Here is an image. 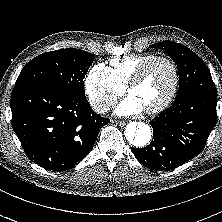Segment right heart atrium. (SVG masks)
Segmentation results:
<instances>
[{
	"label": "right heart atrium",
	"mask_w": 222,
	"mask_h": 222,
	"mask_svg": "<svg viewBox=\"0 0 222 222\" xmlns=\"http://www.w3.org/2000/svg\"><path fill=\"white\" fill-rule=\"evenodd\" d=\"M85 90L93 109L105 113L125 92V86L116 80L109 67L99 63L89 70L85 78Z\"/></svg>",
	"instance_id": "d8ad5b80"
}]
</instances>
